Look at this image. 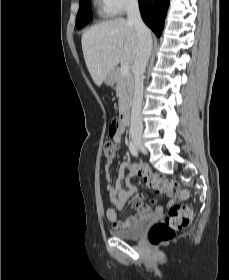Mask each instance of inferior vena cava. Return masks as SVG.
I'll use <instances>...</instances> for the list:
<instances>
[{
	"label": "inferior vena cava",
	"mask_w": 229,
	"mask_h": 280,
	"mask_svg": "<svg viewBox=\"0 0 229 280\" xmlns=\"http://www.w3.org/2000/svg\"><path fill=\"white\" fill-rule=\"evenodd\" d=\"M126 10L128 22L134 24L139 37L138 49L133 65L135 88L132 102L130 132L134 137L141 136L143 132V123L141 117L144 88L143 80L146 66L151 54L152 37L150 30L142 21L138 0H128Z\"/></svg>",
	"instance_id": "602c4592"
}]
</instances>
